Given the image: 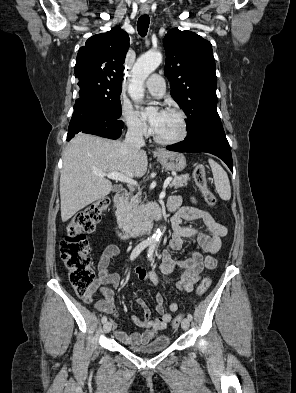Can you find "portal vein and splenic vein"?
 I'll return each mask as SVG.
<instances>
[{
  "label": "portal vein and splenic vein",
  "mask_w": 296,
  "mask_h": 393,
  "mask_svg": "<svg viewBox=\"0 0 296 393\" xmlns=\"http://www.w3.org/2000/svg\"><path fill=\"white\" fill-rule=\"evenodd\" d=\"M95 175L99 176V177H107L109 179H113V180H118L121 182H125V183H129V184H133V185H137V182L132 180L130 177H127L125 175H123L122 173L119 172H110V173H104V172H94ZM172 181V178L169 177L165 180L164 182V189L169 185V183ZM165 197V191H163L160 194V199Z\"/></svg>",
  "instance_id": "18ae733b"
}]
</instances>
